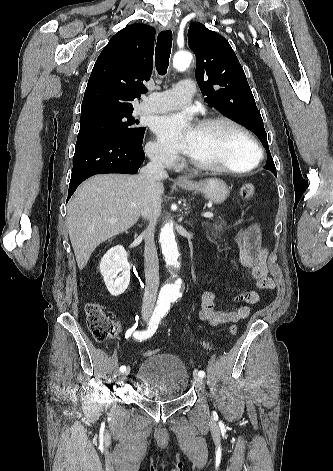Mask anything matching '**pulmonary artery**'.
<instances>
[{"mask_svg": "<svg viewBox=\"0 0 333 471\" xmlns=\"http://www.w3.org/2000/svg\"><path fill=\"white\" fill-rule=\"evenodd\" d=\"M194 93V82L189 79L179 81L172 89L149 95L141 104L143 113H162L182 107Z\"/></svg>", "mask_w": 333, "mask_h": 471, "instance_id": "1", "label": "pulmonary artery"}]
</instances>
